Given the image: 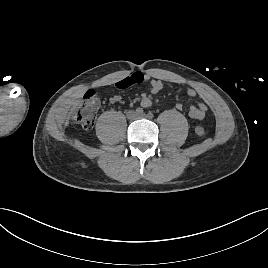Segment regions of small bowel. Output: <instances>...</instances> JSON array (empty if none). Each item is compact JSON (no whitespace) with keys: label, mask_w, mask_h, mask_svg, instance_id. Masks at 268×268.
Masks as SVG:
<instances>
[{"label":"small bowel","mask_w":268,"mask_h":268,"mask_svg":"<svg viewBox=\"0 0 268 268\" xmlns=\"http://www.w3.org/2000/svg\"><path fill=\"white\" fill-rule=\"evenodd\" d=\"M128 79L132 85L139 84L142 82H147L150 85V92L152 94H156L160 92L163 89V82L161 79L156 78L150 74H143L141 72H135L131 74L130 76L122 79L119 81L116 85H118L123 80ZM187 95L190 97H195L197 95V91L194 88H188L187 89ZM121 96L114 95L110 98L111 103H118L121 102ZM140 105L144 108H148L152 105V100L149 96L144 95L140 100ZM175 108L177 110H182L183 105L181 103H177ZM207 110V106L204 102H199L196 105H192L189 108V116L194 120H202L205 117V113Z\"/></svg>","instance_id":"1"}]
</instances>
